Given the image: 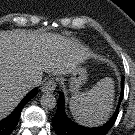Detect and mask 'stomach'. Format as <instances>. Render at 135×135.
<instances>
[{
	"label": "stomach",
	"instance_id": "1",
	"mask_svg": "<svg viewBox=\"0 0 135 135\" xmlns=\"http://www.w3.org/2000/svg\"><path fill=\"white\" fill-rule=\"evenodd\" d=\"M88 77L87 66L85 62L77 64L69 73V91L72 97L80 93V88L86 83Z\"/></svg>",
	"mask_w": 135,
	"mask_h": 135
}]
</instances>
